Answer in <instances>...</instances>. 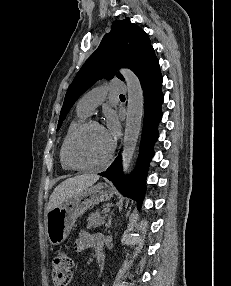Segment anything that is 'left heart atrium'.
Segmentation results:
<instances>
[{
	"mask_svg": "<svg viewBox=\"0 0 231 286\" xmlns=\"http://www.w3.org/2000/svg\"><path fill=\"white\" fill-rule=\"evenodd\" d=\"M107 134L110 136L111 139L117 134L118 125L115 119L110 118L107 123V128L105 129Z\"/></svg>",
	"mask_w": 231,
	"mask_h": 286,
	"instance_id": "1",
	"label": "left heart atrium"
}]
</instances>
